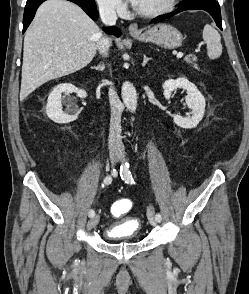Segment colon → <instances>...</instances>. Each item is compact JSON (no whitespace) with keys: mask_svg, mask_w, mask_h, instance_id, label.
Masks as SVG:
<instances>
[{"mask_svg":"<svg viewBox=\"0 0 249 294\" xmlns=\"http://www.w3.org/2000/svg\"><path fill=\"white\" fill-rule=\"evenodd\" d=\"M132 206L133 204L131 200L120 199L113 204L112 213L116 217L123 216L131 210Z\"/></svg>","mask_w":249,"mask_h":294,"instance_id":"5ec220e1","label":"colon"}]
</instances>
